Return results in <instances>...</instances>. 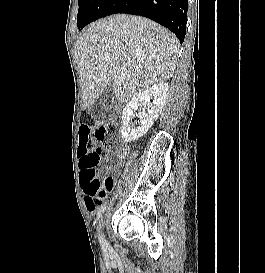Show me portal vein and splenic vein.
I'll use <instances>...</instances> for the list:
<instances>
[{
	"label": "portal vein and splenic vein",
	"instance_id": "portal-vein-and-splenic-vein-1",
	"mask_svg": "<svg viewBox=\"0 0 265 273\" xmlns=\"http://www.w3.org/2000/svg\"><path fill=\"white\" fill-rule=\"evenodd\" d=\"M122 71H125L126 70V67H125V65L124 66H122Z\"/></svg>",
	"mask_w": 265,
	"mask_h": 273
}]
</instances>
